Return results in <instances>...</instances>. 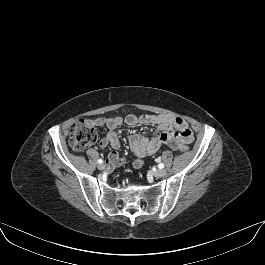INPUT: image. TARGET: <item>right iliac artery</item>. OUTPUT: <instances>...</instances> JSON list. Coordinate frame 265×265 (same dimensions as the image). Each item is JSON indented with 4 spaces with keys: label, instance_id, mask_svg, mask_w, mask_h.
Here are the masks:
<instances>
[{
    "label": "right iliac artery",
    "instance_id": "right-iliac-artery-1",
    "mask_svg": "<svg viewBox=\"0 0 265 265\" xmlns=\"http://www.w3.org/2000/svg\"><path fill=\"white\" fill-rule=\"evenodd\" d=\"M97 162H98L99 164H101V163H103V160H102V159H99Z\"/></svg>",
    "mask_w": 265,
    "mask_h": 265
}]
</instances>
